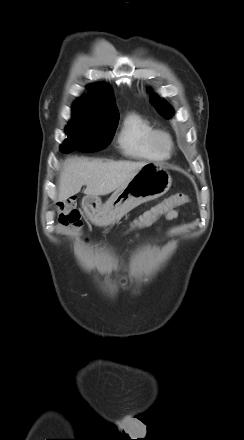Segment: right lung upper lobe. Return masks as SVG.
Returning a JSON list of instances; mask_svg holds the SVG:
<instances>
[{
    "mask_svg": "<svg viewBox=\"0 0 244 440\" xmlns=\"http://www.w3.org/2000/svg\"><path fill=\"white\" fill-rule=\"evenodd\" d=\"M88 97L73 104V120L96 125H110L118 122L119 112L110 86L90 85Z\"/></svg>",
    "mask_w": 244,
    "mask_h": 440,
    "instance_id": "obj_1",
    "label": "right lung upper lobe"
}]
</instances>
